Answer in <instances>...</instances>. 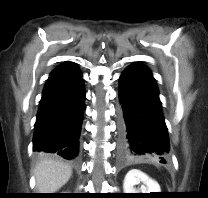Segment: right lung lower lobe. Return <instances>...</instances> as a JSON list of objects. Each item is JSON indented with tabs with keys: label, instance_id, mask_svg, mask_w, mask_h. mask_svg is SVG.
<instances>
[{
	"label": "right lung lower lobe",
	"instance_id": "obj_1",
	"mask_svg": "<svg viewBox=\"0 0 208 198\" xmlns=\"http://www.w3.org/2000/svg\"><path fill=\"white\" fill-rule=\"evenodd\" d=\"M78 66L63 62L50 74L40 101L33 151L72 160L79 152L85 88Z\"/></svg>",
	"mask_w": 208,
	"mask_h": 198
}]
</instances>
